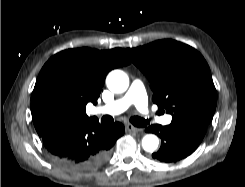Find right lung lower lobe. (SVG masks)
I'll list each match as a JSON object with an SVG mask.
<instances>
[{
  "mask_svg": "<svg viewBox=\"0 0 245 187\" xmlns=\"http://www.w3.org/2000/svg\"><path fill=\"white\" fill-rule=\"evenodd\" d=\"M124 132L119 122L104 127L92 119L54 128L42 136V141L61 165L85 172L101 167L109 159L110 149Z\"/></svg>",
  "mask_w": 245,
  "mask_h": 187,
  "instance_id": "1",
  "label": "right lung lower lobe"
}]
</instances>
